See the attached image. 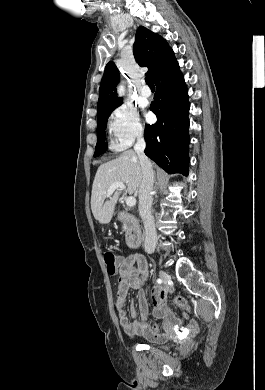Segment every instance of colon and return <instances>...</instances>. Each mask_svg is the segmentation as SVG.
Returning a JSON list of instances; mask_svg holds the SVG:
<instances>
[{
	"label": "colon",
	"mask_w": 265,
	"mask_h": 390,
	"mask_svg": "<svg viewBox=\"0 0 265 390\" xmlns=\"http://www.w3.org/2000/svg\"><path fill=\"white\" fill-rule=\"evenodd\" d=\"M103 261L106 266L107 272L110 275H114L117 273L119 268V260L115 256L112 251H104L103 252ZM174 303L185 310H189L190 306L186 299L181 296L174 297Z\"/></svg>",
	"instance_id": "obj_1"
}]
</instances>
